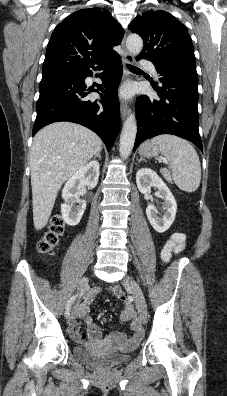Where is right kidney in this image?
<instances>
[{
    "label": "right kidney",
    "instance_id": "obj_1",
    "mask_svg": "<svg viewBox=\"0 0 227 396\" xmlns=\"http://www.w3.org/2000/svg\"><path fill=\"white\" fill-rule=\"evenodd\" d=\"M99 179V163L90 161L81 166L66 182L62 190L64 203L61 205L63 220L70 226L77 225L86 209V201L80 199L81 189L84 186L96 187Z\"/></svg>",
    "mask_w": 227,
    "mask_h": 396
}]
</instances>
